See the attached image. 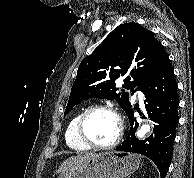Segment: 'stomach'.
Here are the masks:
<instances>
[{
  "mask_svg": "<svg viewBox=\"0 0 194 178\" xmlns=\"http://www.w3.org/2000/svg\"><path fill=\"white\" fill-rule=\"evenodd\" d=\"M139 156L103 152L62 172L58 178H125L139 167Z\"/></svg>",
  "mask_w": 194,
  "mask_h": 178,
  "instance_id": "0dacf381",
  "label": "stomach"
}]
</instances>
